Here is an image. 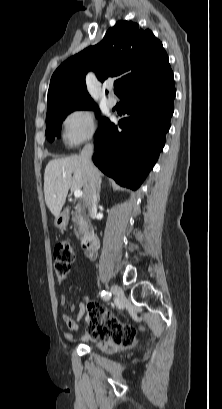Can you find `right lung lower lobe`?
I'll use <instances>...</instances> for the list:
<instances>
[{
  "instance_id": "right-lung-lower-lobe-1",
  "label": "right lung lower lobe",
  "mask_w": 222,
  "mask_h": 409,
  "mask_svg": "<svg viewBox=\"0 0 222 409\" xmlns=\"http://www.w3.org/2000/svg\"><path fill=\"white\" fill-rule=\"evenodd\" d=\"M155 87L126 94L119 126L109 123L95 141L93 162L119 185L137 189L165 145L174 111L173 73L158 76Z\"/></svg>"
}]
</instances>
